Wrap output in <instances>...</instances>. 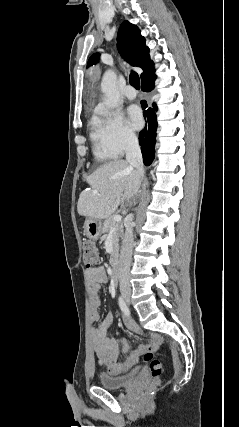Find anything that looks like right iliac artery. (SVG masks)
<instances>
[{
  "label": "right iliac artery",
  "mask_w": 239,
  "mask_h": 427,
  "mask_svg": "<svg viewBox=\"0 0 239 427\" xmlns=\"http://www.w3.org/2000/svg\"><path fill=\"white\" fill-rule=\"evenodd\" d=\"M118 303H119V306H120L121 310L123 311V313L125 315L129 316L130 315L129 308L121 296L118 299Z\"/></svg>",
  "instance_id": "1"
}]
</instances>
